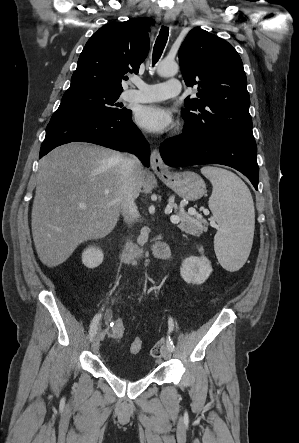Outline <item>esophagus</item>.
<instances>
[{
  "label": "esophagus",
  "instance_id": "34e87169",
  "mask_svg": "<svg viewBox=\"0 0 299 443\" xmlns=\"http://www.w3.org/2000/svg\"><path fill=\"white\" fill-rule=\"evenodd\" d=\"M175 20V13L173 11H167L164 15V22L170 25ZM151 168L155 173H164L167 171V167L164 164L160 152L155 148L151 153Z\"/></svg>",
  "mask_w": 299,
  "mask_h": 443
}]
</instances>
